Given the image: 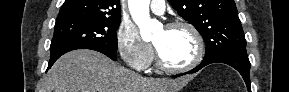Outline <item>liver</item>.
<instances>
[{
  "label": "liver",
  "instance_id": "liver-1",
  "mask_svg": "<svg viewBox=\"0 0 289 92\" xmlns=\"http://www.w3.org/2000/svg\"><path fill=\"white\" fill-rule=\"evenodd\" d=\"M185 79L145 78L105 55L79 49L61 56L43 79V92H176Z\"/></svg>",
  "mask_w": 289,
  "mask_h": 92
}]
</instances>
